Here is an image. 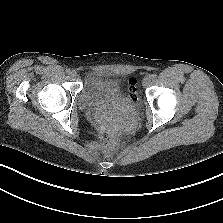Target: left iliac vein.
<instances>
[{"label":"left iliac vein","mask_w":223,"mask_h":223,"mask_svg":"<svg viewBox=\"0 0 223 223\" xmlns=\"http://www.w3.org/2000/svg\"><path fill=\"white\" fill-rule=\"evenodd\" d=\"M150 82H151V77L150 76H145L143 81H142V84H143L144 87H147V86H149Z\"/></svg>","instance_id":"obj_1"}]
</instances>
